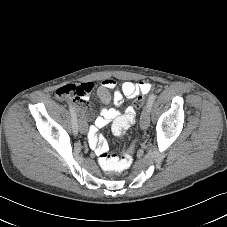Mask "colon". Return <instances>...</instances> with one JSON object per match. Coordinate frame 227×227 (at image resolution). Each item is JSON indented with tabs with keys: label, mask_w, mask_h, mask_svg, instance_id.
Listing matches in <instances>:
<instances>
[{
	"label": "colon",
	"mask_w": 227,
	"mask_h": 227,
	"mask_svg": "<svg viewBox=\"0 0 227 227\" xmlns=\"http://www.w3.org/2000/svg\"><path fill=\"white\" fill-rule=\"evenodd\" d=\"M81 94L82 91L76 85H65L56 91V95L59 99H73ZM144 102L145 98L143 96H139L135 99L133 106L134 108L139 109L143 106ZM136 149L137 144L131 143L130 148L125 152L122 160H118L108 153H103L99 156V163L102 168L108 172H120L130 165L133 150Z\"/></svg>",
	"instance_id": "colon-1"
}]
</instances>
